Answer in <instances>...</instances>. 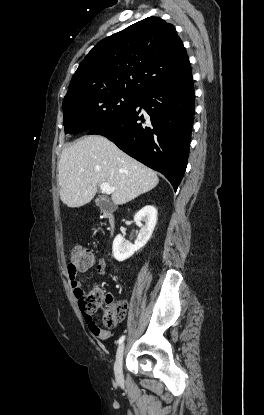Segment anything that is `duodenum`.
Returning a JSON list of instances; mask_svg holds the SVG:
<instances>
[{
    "instance_id": "410a0bca",
    "label": "duodenum",
    "mask_w": 264,
    "mask_h": 415,
    "mask_svg": "<svg viewBox=\"0 0 264 415\" xmlns=\"http://www.w3.org/2000/svg\"><path fill=\"white\" fill-rule=\"evenodd\" d=\"M101 213L108 220L110 229H113L115 227L114 215L111 212L106 211V210H102Z\"/></svg>"
}]
</instances>
